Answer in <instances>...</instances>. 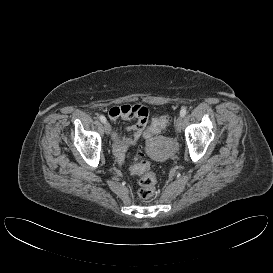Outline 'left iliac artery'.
Instances as JSON below:
<instances>
[{"instance_id": "1", "label": "left iliac artery", "mask_w": 273, "mask_h": 273, "mask_svg": "<svg viewBox=\"0 0 273 273\" xmlns=\"http://www.w3.org/2000/svg\"><path fill=\"white\" fill-rule=\"evenodd\" d=\"M186 113H187L186 108H182L181 111H180V115H181L182 117H184V116L186 115Z\"/></svg>"}]
</instances>
